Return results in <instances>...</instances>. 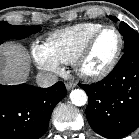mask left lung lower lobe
Here are the masks:
<instances>
[{"label": "left lung lower lobe", "instance_id": "0a47b994", "mask_svg": "<svg viewBox=\"0 0 139 139\" xmlns=\"http://www.w3.org/2000/svg\"><path fill=\"white\" fill-rule=\"evenodd\" d=\"M80 86L88 94L86 116L96 133L117 139L139 126V47L125 51L101 82Z\"/></svg>", "mask_w": 139, "mask_h": 139}]
</instances>
